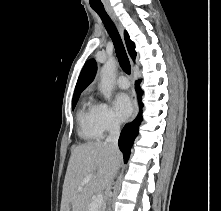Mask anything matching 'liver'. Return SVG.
<instances>
[{
	"label": "liver",
	"mask_w": 221,
	"mask_h": 211,
	"mask_svg": "<svg viewBox=\"0 0 221 211\" xmlns=\"http://www.w3.org/2000/svg\"><path fill=\"white\" fill-rule=\"evenodd\" d=\"M122 154L103 142H89L71 150L62 192L61 211H84L94 193L109 188L114 172L119 168ZM87 176L91 180L79 189Z\"/></svg>",
	"instance_id": "6515ba94"
}]
</instances>
